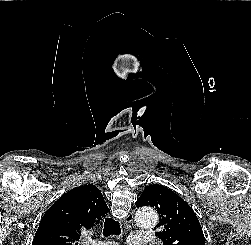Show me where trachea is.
<instances>
[{
	"label": "trachea",
	"mask_w": 251,
	"mask_h": 245,
	"mask_svg": "<svg viewBox=\"0 0 251 245\" xmlns=\"http://www.w3.org/2000/svg\"><path fill=\"white\" fill-rule=\"evenodd\" d=\"M120 235L121 228L118 221L114 220L113 218L107 217L104 223L103 235L104 237H108L110 235Z\"/></svg>",
	"instance_id": "3493384b"
}]
</instances>
